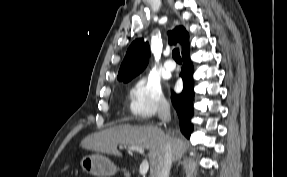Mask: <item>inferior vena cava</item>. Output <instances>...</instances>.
<instances>
[{
    "mask_svg": "<svg viewBox=\"0 0 287 177\" xmlns=\"http://www.w3.org/2000/svg\"><path fill=\"white\" fill-rule=\"evenodd\" d=\"M159 118L164 123L170 120V105L168 103H166L162 107L159 113ZM171 164H172V148L171 144L167 142L163 150V155L159 161L155 173L153 174V177H169Z\"/></svg>",
    "mask_w": 287,
    "mask_h": 177,
    "instance_id": "1",
    "label": "inferior vena cava"
}]
</instances>
